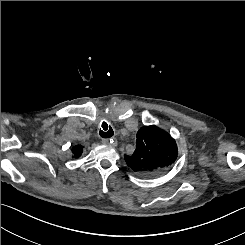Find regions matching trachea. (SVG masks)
Here are the masks:
<instances>
[{"mask_svg": "<svg viewBox=\"0 0 245 245\" xmlns=\"http://www.w3.org/2000/svg\"><path fill=\"white\" fill-rule=\"evenodd\" d=\"M99 134L102 138H110L113 136L114 131L105 121H103L101 124Z\"/></svg>", "mask_w": 245, "mask_h": 245, "instance_id": "1", "label": "trachea"}]
</instances>
